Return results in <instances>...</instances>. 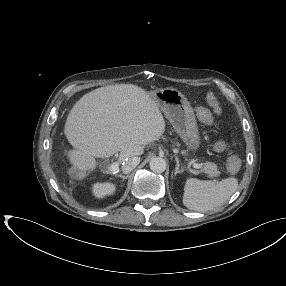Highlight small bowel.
<instances>
[{"instance_id":"obj_1","label":"small bowel","mask_w":286,"mask_h":286,"mask_svg":"<svg viewBox=\"0 0 286 286\" xmlns=\"http://www.w3.org/2000/svg\"><path fill=\"white\" fill-rule=\"evenodd\" d=\"M200 109H201V108H200ZM218 113H219V112H217V114H218ZM223 147H224V145H223V143H222L221 141L217 142V143L214 145V148H215V150H217V151L222 150Z\"/></svg>"}]
</instances>
